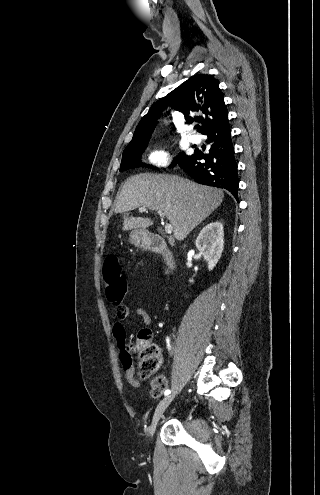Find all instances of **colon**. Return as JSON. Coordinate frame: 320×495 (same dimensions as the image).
Instances as JSON below:
<instances>
[{"label":"colon","instance_id":"colon-1","mask_svg":"<svg viewBox=\"0 0 320 495\" xmlns=\"http://www.w3.org/2000/svg\"><path fill=\"white\" fill-rule=\"evenodd\" d=\"M103 279L107 299L116 305L117 311L122 310L124 305L121 302L127 291V280L117 256L109 255L105 258ZM148 336V330H141L136 341L130 345L139 356L140 377L143 379L155 373L162 361L160 350L148 342ZM131 360L129 354L124 358L126 363ZM166 387L167 383L164 378L160 376L154 377L151 381V397L159 398Z\"/></svg>","mask_w":320,"mask_h":495}]
</instances>
